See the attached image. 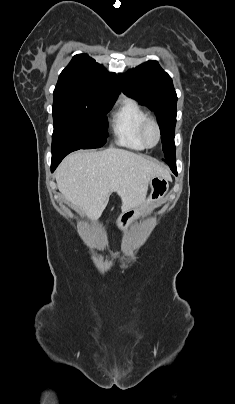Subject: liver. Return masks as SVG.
Here are the masks:
<instances>
[{
  "instance_id": "6515ba94",
  "label": "liver",
  "mask_w": 235,
  "mask_h": 404,
  "mask_svg": "<svg viewBox=\"0 0 235 404\" xmlns=\"http://www.w3.org/2000/svg\"><path fill=\"white\" fill-rule=\"evenodd\" d=\"M154 177L171 179L168 170L159 164L117 148L70 154L55 172L59 191L89 218L102 214L113 192L121 198L123 213L139 207Z\"/></svg>"
}]
</instances>
